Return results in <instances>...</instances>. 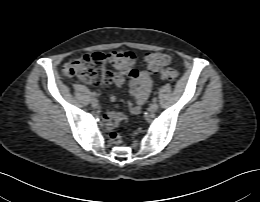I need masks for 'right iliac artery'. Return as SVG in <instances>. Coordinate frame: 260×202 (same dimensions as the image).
<instances>
[{"label":"right iliac artery","instance_id":"1","mask_svg":"<svg viewBox=\"0 0 260 202\" xmlns=\"http://www.w3.org/2000/svg\"><path fill=\"white\" fill-rule=\"evenodd\" d=\"M91 96H92V97H96L97 95H96L95 92H92V93H91Z\"/></svg>","mask_w":260,"mask_h":202}]
</instances>
